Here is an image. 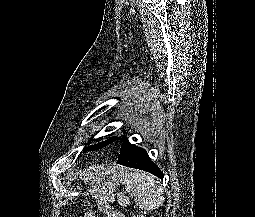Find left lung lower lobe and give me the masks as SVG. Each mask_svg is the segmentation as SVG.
Segmentation results:
<instances>
[{"label": "left lung lower lobe", "instance_id": "1", "mask_svg": "<svg viewBox=\"0 0 255 217\" xmlns=\"http://www.w3.org/2000/svg\"><path fill=\"white\" fill-rule=\"evenodd\" d=\"M118 164L144 170L163 179V173L158 166L151 161L148 153L144 149L131 144L127 139L122 143L118 154Z\"/></svg>", "mask_w": 255, "mask_h": 217}]
</instances>
